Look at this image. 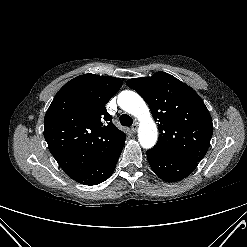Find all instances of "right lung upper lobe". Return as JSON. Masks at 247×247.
Returning a JSON list of instances; mask_svg holds the SVG:
<instances>
[{
    "label": "right lung upper lobe",
    "instance_id": "1",
    "mask_svg": "<svg viewBox=\"0 0 247 247\" xmlns=\"http://www.w3.org/2000/svg\"><path fill=\"white\" fill-rule=\"evenodd\" d=\"M121 86L115 77L84 74L55 95L44 118V137L70 178L87 172L125 141L126 134L105 108Z\"/></svg>",
    "mask_w": 247,
    "mask_h": 247
}]
</instances>
